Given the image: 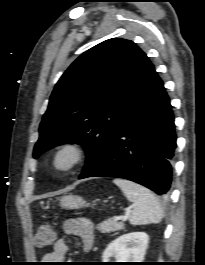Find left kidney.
Returning a JSON list of instances; mask_svg holds the SVG:
<instances>
[{
  "label": "left kidney",
  "instance_id": "5707ae66",
  "mask_svg": "<svg viewBox=\"0 0 205 265\" xmlns=\"http://www.w3.org/2000/svg\"><path fill=\"white\" fill-rule=\"evenodd\" d=\"M149 236L144 232H131L112 241L103 252V262L114 257L115 262H142L148 246Z\"/></svg>",
  "mask_w": 205,
  "mask_h": 265
}]
</instances>
